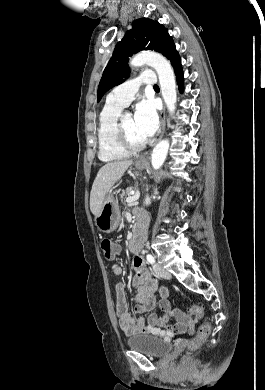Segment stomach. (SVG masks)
<instances>
[{
	"mask_svg": "<svg viewBox=\"0 0 265 390\" xmlns=\"http://www.w3.org/2000/svg\"><path fill=\"white\" fill-rule=\"evenodd\" d=\"M146 166L145 162L137 161L135 163V167L138 170H143ZM120 218L118 202L112 190H110L103 202L100 213L95 216V224L101 232L111 233L118 227Z\"/></svg>",
	"mask_w": 265,
	"mask_h": 390,
	"instance_id": "0dacf381",
	"label": "stomach"
}]
</instances>
